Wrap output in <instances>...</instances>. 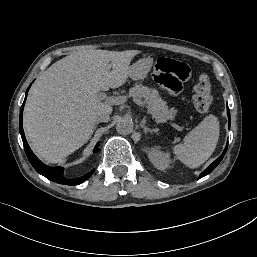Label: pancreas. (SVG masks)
<instances>
[{"label": "pancreas", "mask_w": 257, "mask_h": 257, "mask_svg": "<svg viewBox=\"0 0 257 257\" xmlns=\"http://www.w3.org/2000/svg\"><path fill=\"white\" fill-rule=\"evenodd\" d=\"M128 97L134 100H142L148 111L159 122L173 119L176 110L168 108L167 103L161 99L156 89H150L142 84L135 85L129 90Z\"/></svg>", "instance_id": "cf45deb5"}]
</instances>
